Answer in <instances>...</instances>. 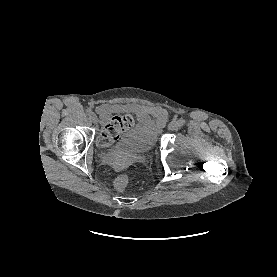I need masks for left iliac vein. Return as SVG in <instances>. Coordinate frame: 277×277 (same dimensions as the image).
<instances>
[{
	"label": "left iliac vein",
	"mask_w": 277,
	"mask_h": 277,
	"mask_svg": "<svg viewBox=\"0 0 277 277\" xmlns=\"http://www.w3.org/2000/svg\"><path fill=\"white\" fill-rule=\"evenodd\" d=\"M179 128V123L177 121H171L168 125L170 131H176Z\"/></svg>",
	"instance_id": "left-iliac-vein-1"
}]
</instances>
